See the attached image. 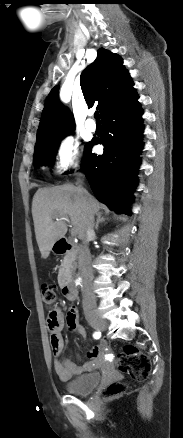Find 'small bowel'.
Segmentation results:
<instances>
[{
  "label": "small bowel",
  "instance_id": "small-bowel-1",
  "mask_svg": "<svg viewBox=\"0 0 183 438\" xmlns=\"http://www.w3.org/2000/svg\"><path fill=\"white\" fill-rule=\"evenodd\" d=\"M65 322L70 329L76 331L80 336H86L84 327L79 323V313L76 307H71L66 315L60 309H53L49 312L47 325L50 331L52 352L56 357L54 361V370L62 381H68L83 372L91 371L95 365L94 362L76 365L71 360L61 357L64 349L62 330ZM104 347V343L94 347L89 351L88 356L96 359Z\"/></svg>",
  "mask_w": 183,
  "mask_h": 438
}]
</instances>
